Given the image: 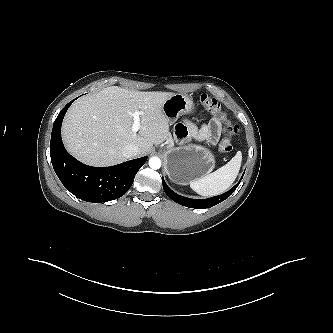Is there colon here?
<instances>
[{
    "instance_id": "obj_1",
    "label": "colon",
    "mask_w": 333,
    "mask_h": 333,
    "mask_svg": "<svg viewBox=\"0 0 333 333\" xmlns=\"http://www.w3.org/2000/svg\"><path fill=\"white\" fill-rule=\"evenodd\" d=\"M198 101L216 118L224 121V137L219 144V152L221 154L230 152L232 150V137L238 132V126L227 119L225 113L221 110L219 102L216 99L206 94H202L198 97Z\"/></svg>"
}]
</instances>
